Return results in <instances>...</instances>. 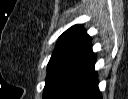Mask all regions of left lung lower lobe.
Listing matches in <instances>:
<instances>
[{"mask_svg": "<svg viewBox=\"0 0 128 99\" xmlns=\"http://www.w3.org/2000/svg\"><path fill=\"white\" fill-rule=\"evenodd\" d=\"M91 39L55 73L43 99H102Z\"/></svg>", "mask_w": 128, "mask_h": 99, "instance_id": "obj_1", "label": "left lung lower lobe"}]
</instances>
